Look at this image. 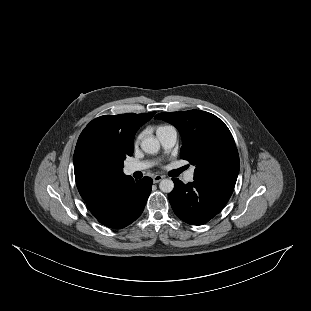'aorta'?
Instances as JSON below:
<instances>
[{
  "label": "aorta",
  "mask_w": 311,
  "mask_h": 311,
  "mask_svg": "<svg viewBox=\"0 0 311 311\" xmlns=\"http://www.w3.org/2000/svg\"><path fill=\"white\" fill-rule=\"evenodd\" d=\"M141 148L147 154H155L160 149V143L154 137H147L141 142ZM159 188L162 192L170 193L174 188V183L170 179H163L159 184Z\"/></svg>",
  "instance_id": "762f6f07"
}]
</instances>
